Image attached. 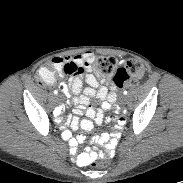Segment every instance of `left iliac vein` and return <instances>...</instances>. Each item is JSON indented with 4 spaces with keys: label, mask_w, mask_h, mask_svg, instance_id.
<instances>
[{
    "label": "left iliac vein",
    "mask_w": 183,
    "mask_h": 183,
    "mask_svg": "<svg viewBox=\"0 0 183 183\" xmlns=\"http://www.w3.org/2000/svg\"><path fill=\"white\" fill-rule=\"evenodd\" d=\"M126 101V98L125 97H123V102H125Z\"/></svg>",
    "instance_id": "left-iliac-vein-1"
}]
</instances>
